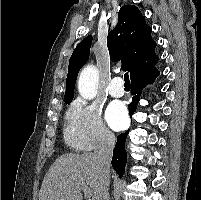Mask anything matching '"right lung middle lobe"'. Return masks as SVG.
Returning a JSON list of instances; mask_svg holds the SVG:
<instances>
[{"label":"right lung middle lobe","mask_w":201,"mask_h":200,"mask_svg":"<svg viewBox=\"0 0 201 200\" xmlns=\"http://www.w3.org/2000/svg\"><path fill=\"white\" fill-rule=\"evenodd\" d=\"M71 101H72V99H70V100H65V104H70Z\"/></svg>","instance_id":"dd1d6c3e"}]
</instances>
